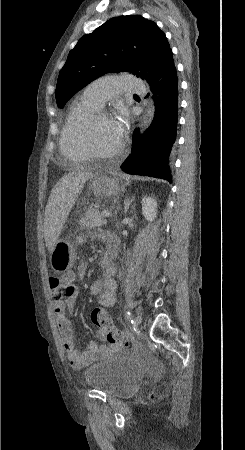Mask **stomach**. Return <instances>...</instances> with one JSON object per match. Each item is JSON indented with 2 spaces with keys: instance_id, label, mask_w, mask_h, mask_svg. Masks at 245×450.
Returning a JSON list of instances; mask_svg holds the SVG:
<instances>
[{
  "instance_id": "stomach-1",
  "label": "stomach",
  "mask_w": 245,
  "mask_h": 450,
  "mask_svg": "<svg viewBox=\"0 0 245 450\" xmlns=\"http://www.w3.org/2000/svg\"><path fill=\"white\" fill-rule=\"evenodd\" d=\"M121 178L117 174L100 173L90 178L89 189L98 195L115 196L120 192ZM76 259V250L67 238L59 239L50 256L51 268L62 273L71 269Z\"/></svg>"
}]
</instances>
